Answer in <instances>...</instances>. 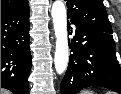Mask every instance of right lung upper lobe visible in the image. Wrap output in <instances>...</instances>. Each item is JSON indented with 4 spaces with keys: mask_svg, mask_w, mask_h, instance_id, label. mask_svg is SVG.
I'll return each mask as SVG.
<instances>
[{
    "mask_svg": "<svg viewBox=\"0 0 121 94\" xmlns=\"http://www.w3.org/2000/svg\"><path fill=\"white\" fill-rule=\"evenodd\" d=\"M28 0H1V15L24 7Z\"/></svg>",
    "mask_w": 121,
    "mask_h": 94,
    "instance_id": "cb5924a9",
    "label": "right lung upper lobe"
}]
</instances>
